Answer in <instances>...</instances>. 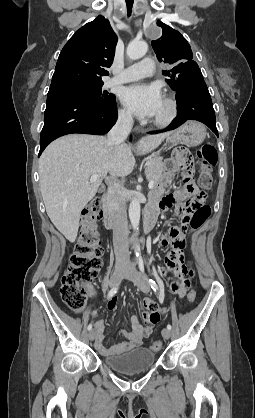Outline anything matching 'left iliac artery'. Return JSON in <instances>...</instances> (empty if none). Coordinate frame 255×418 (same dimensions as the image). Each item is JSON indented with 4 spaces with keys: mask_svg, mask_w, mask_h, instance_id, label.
Instances as JSON below:
<instances>
[{
    "mask_svg": "<svg viewBox=\"0 0 255 418\" xmlns=\"http://www.w3.org/2000/svg\"><path fill=\"white\" fill-rule=\"evenodd\" d=\"M138 264H139V269H140V271H141L143 274H145V272H144V263H143V259H142V257H141V256L138 258ZM148 282H149V284H150L151 288H152L155 292H156L157 290H159L158 285L156 284V282H155L154 280H152V279H148ZM167 329L171 330V329H172V326H171L170 324H168V325H167Z\"/></svg>",
    "mask_w": 255,
    "mask_h": 418,
    "instance_id": "44dca946",
    "label": "left iliac artery"
}]
</instances>
